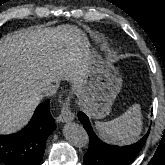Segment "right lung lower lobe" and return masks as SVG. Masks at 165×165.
<instances>
[{
  "label": "right lung lower lobe",
  "instance_id": "1",
  "mask_svg": "<svg viewBox=\"0 0 165 165\" xmlns=\"http://www.w3.org/2000/svg\"><path fill=\"white\" fill-rule=\"evenodd\" d=\"M50 100L41 103L21 131L0 135V162L6 165H39L46 140L56 125L50 114Z\"/></svg>",
  "mask_w": 165,
  "mask_h": 165
}]
</instances>
